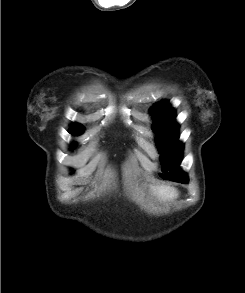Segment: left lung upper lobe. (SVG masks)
I'll list each match as a JSON object with an SVG mask.
<instances>
[{
    "label": "left lung upper lobe",
    "mask_w": 245,
    "mask_h": 293,
    "mask_svg": "<svg viewBox=\"0 0 245 293\" xmlns=\"http://www.w3.org/2000/svg\"><path fill=\"white\" fill-rule=\"evenodd\" d=\"M151 111L155 117V123L152 128L158 134L156 144L162 153L160 156L162 171L166 172L161 176L168 180L180 182V179L188 177L182 174L179 169L183 144L178 142L179 126L175 123V111L168 102L155 104Z\"/></svg>",
    "instance_id": "left-lung-upper-lobe-1"
}]
</instances>
